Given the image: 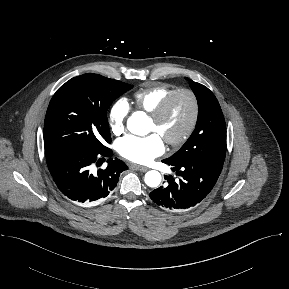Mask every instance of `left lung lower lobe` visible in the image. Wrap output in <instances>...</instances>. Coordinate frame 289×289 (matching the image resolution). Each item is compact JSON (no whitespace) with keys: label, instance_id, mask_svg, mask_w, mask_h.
I'll list each match as a JSON object with an SVG mask.
<instances>
[{"label":"left lung lower lobe","instance_id":"obj_1","mask_svg":"<svg viewBox=\"0 0 289 289\" xmlns=\"http://www.w3.org/2000/svg\"><path fill=\"white\" fill-rule=\"evenodd\" d=\"M179 180L168 177V184L150 193V198L157 205L172 211L192 208L199 204L213 189L221 173L223 163L214 160H198L171 164ZM167 179V176H165Z\"/></svg>","mask_w":289,"mask_h":289}]
</instances>
